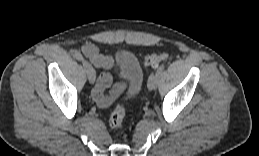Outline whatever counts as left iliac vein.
I'll return each instance as SVG.
<instances>
[{
  "label": "left iliac vein",
  "instance_id": "4c4485c4",
  "mask_svg": "<svg viewBox=\"0 0 259 156\" xmlns=\"http://www.w3.org/2000/svg\"><path fill=\"white\" fill-rule=\"evenodd\" d=\"M155 78H156V76L154 75V77H153L151 80H148L147 86H148V89H149L150 91H153V90L156 89V86H157V85H155Z\"/></svg>",
  "mask_w": 259,
  "mask_h": 156
}]
</instances>
